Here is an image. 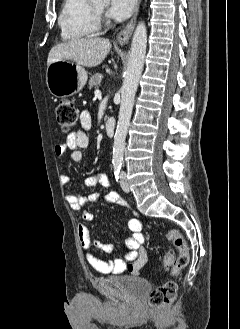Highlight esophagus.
Returning <instances> with one entry per match:
<instances>
[{
    "label": "esophagus",
    "mask_w": 240,
    "mask_h": 329,
    "mask_svg": "<svg viewBox=\"0 0 240 329\" xmlns=\"http://www.w3.org/2000/svg\"><path fill=\"white\" fill-rule=\"evenodd\" d=\"M141 0H136L134 14L129 23L120 31V33L117 36V41L120 45H124L128 43L133 30L135 28L139 7H140Z\"/></svg>",
    "instance_id": "obj_1"
}]
</instances>
